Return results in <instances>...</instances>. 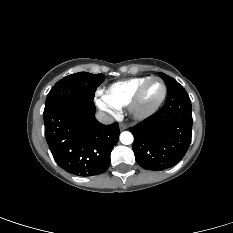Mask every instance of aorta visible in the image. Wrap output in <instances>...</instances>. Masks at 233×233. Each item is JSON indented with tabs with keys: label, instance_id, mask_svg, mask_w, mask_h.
Listing matches in <instances>:
<instances>
[{
	"label": "aorta",
	"instance_id": "762f6f07",
	"mask_svg": "<svg viewBox=\"0 0 233 233\" xmlns=\"http://www.w3.org/2000/svg\"><path fill=\"white\" fill-rule=\"evenodd\" d=\"M120 141L124 145H130L133 143L134 138L131 132L124 131L120 134Z\"/></svg>",
	"mask_w": 233,
	"mask_h": 233
}]
</instances>
